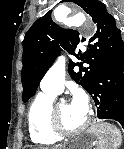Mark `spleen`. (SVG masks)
<instances>
[{
    "label": "spleen",
    "instance_id": "obj_1",
    "mask_svg": "<svg viewBox=\"0 0 124 149\" xmlns=\"http://www.w3.org/2000/svg\"><path fill=\"white\" fill-rule=\"evenodd\" d=\"M99 149H118L122 138L120 131L109 123H101L96 127Z\"/></svg>",
    "mask_w": 124,
    "mask_h": 149
}]
</instances>
